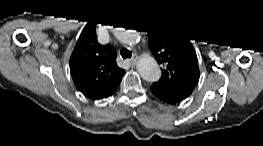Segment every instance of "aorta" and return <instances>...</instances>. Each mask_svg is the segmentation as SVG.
<instances>
[{"mask_svg":"<svg viewBox=\"0 0 263 146\" xmlns=\"http://www.w3.org/2000/svg\"><path fill=\"white\" fill-rule=\"evenodd\" d=\"M119 37L123 42L129 45H134L139 41V35L133 29L131 30L121 29L119 33ZM137 70L140 76L148 82H154L158 80L160 77L159 66L155 61V59L150 56L142 57L139 60L137 64Z\"/></svg>","mask_w":263,"mask_h":146,"instance_id":"obj_1","label":"aorta"}]
</instances>
